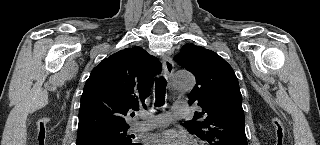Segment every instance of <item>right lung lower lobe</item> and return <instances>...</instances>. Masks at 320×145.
Returning <instances> with one entry per match:
<instances>
[{
	"label": "right lung lower lobe",
	"mask_w": 320,
	"mask_h": 145,
	"mask_svg": "<svg viewBox=\"0 0 320 145\" xmlns=\"http://www.w3.org/2000/svg\"><path fill=\"white\" fill-rule=\"evenodd\" d=\"M76 145H120V144L101 136L82 135V136H78Z\"/></svg>",
	"instance_id": "obj_1"
}]
</instances>
